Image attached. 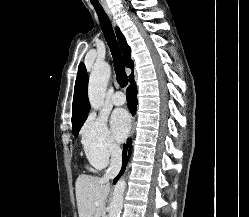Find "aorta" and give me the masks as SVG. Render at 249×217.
Here are the masks:
<instances>
[{
    "mask_svg": "<svg viewBox=\"0 0 249 217\" xmlns=\"http://www.w3.org/2000/svg\"><path fill=\"white\" fill-rule=\"evenodd\" d=\"M109 77L110 67L106 64L96 66L90 74L88 84V98L91 107L95 110L100 109L103 105ZM125 189L126 182L124 179H120L114 187L108 217H120V213L123 207Z\"/></svg>",
    "mask_w": 249,
    "mask_h": 217,
    "instance_id": "aorta-1",
    "label": "aorta"
}]
</instances>
